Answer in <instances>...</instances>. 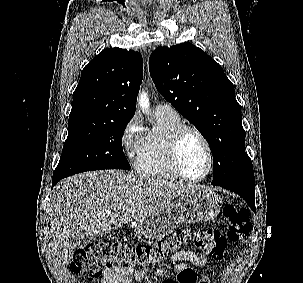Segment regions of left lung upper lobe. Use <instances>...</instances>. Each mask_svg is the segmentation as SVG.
<instances>
[{
    "label": "left lung upper lobe",
    "mask_w": 303,
    "mask_h": 283,
    "mask_svg": "<svg viewBox=\"0 0 303 283\" xmlns=\"http://www.w3.org/2000/svg\"><path fill=\"white\" fill-rule=\"evenodd\" d=\"M157 90L207 140L213 185L255 184L235 90L221 66L190 43L158 47L149 58Z\"/></svg>",
    "instance_id": "obj_1"
}]
</instances>
